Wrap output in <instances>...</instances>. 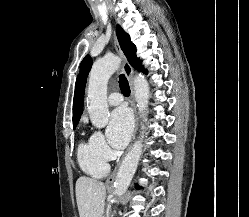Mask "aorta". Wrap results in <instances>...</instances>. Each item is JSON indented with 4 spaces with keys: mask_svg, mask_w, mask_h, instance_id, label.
I'll use <instances>...</instances> for the list:
<instances>
[{
    "mask_svg": "<svg viewBox=\"0 0 249 217\" xmlns=\"http://www.w3.org/2000/svg\"><path fill=\"white\" fill-rule=\"evenodd\" d=\"M120 59L116 56L105 57L94 63L90 75L87 94V107L91 123L97 128H104L108 123L107 84L111 75L119 68ZM135 100L142 117L147 110L150 88L146 78L138 75L134 79ZM147 119L144 118L143 121ZM133 144L123 159L118 170L114 187L115 195L122 196L130 185L142 154V139Z\"/></svg>",
    "mask_w": 249,
    "mask_h": 217,
    "instance_id": "aorta-1",
    "label": "aorta"
}]
</instances>
